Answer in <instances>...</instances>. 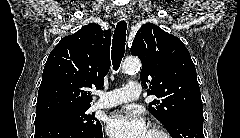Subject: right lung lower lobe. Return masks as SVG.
Returning a JSON list of instances; mask_svg holds the SVG:
<instances>
[{"instance_id":"98d812e1","label":"right lung lower lobe","mask_w":240,"mask_h":138,"mask_svg":"<svg viewBox=\"0 0 240 138\" xmlns=\"http://www.w3.org/2000/svg\"><path fill=\"white\" fill-rule=\"evenodd\" d=\"M34 138H103V134L102 129L86 133L69 124L50 123L35 127Z\"/></svg>"}]
</instances>
